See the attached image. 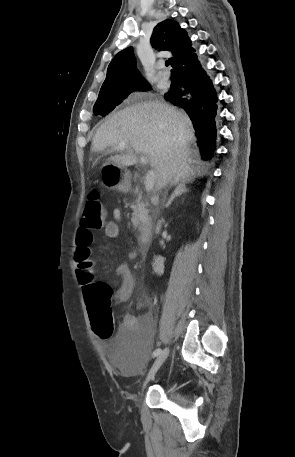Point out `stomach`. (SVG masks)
<instances>
[{
    "label": "stomach",
    "instance_id": "0dacf381",
    "mask_svg": "<svg viewBox=\"0 0 295 457\" xmlns=\"http://www.w3.org/2000/svg\"><path fill=\"white\" fill-rule=\"evenodd\" d=\"M101 178L104 186L111 190L128 192L130 178L128 171L120 164L108 161L101 167Z\"/></svg>",
    "mask_w": 295,
    "mask_h": 457
}]
</instances>
